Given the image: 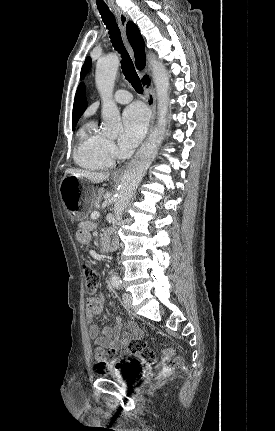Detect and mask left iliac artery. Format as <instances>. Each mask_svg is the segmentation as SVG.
<instances>
[{"label":"left iliac artery","mask_w":275,"mask_h":431,"mask_svg":"<svg viewBox=\"0 0 275 431\" xmlns=\"http://www.w3.org/2000/svg\"><path fill=\"white\" fill-rule=\"evenodd\" d=\"M112 284H113V286L118 288L121 286V280L116 279L112 282Z\"/></svg>","instance_id":"obj_1"}]
</instances>
